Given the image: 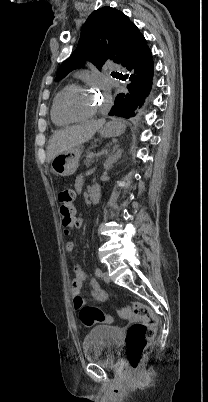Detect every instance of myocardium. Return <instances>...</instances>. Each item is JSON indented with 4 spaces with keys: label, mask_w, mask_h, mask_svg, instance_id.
<instances>
[{
    "label": "myocardium",
    "mask_w": 208,
    "mask_h": 402,
    "mask_svg": "<svg viewBox=\"0 0 208 402\" xmlns=\"http://www.w3.org/2000/svg\"><path fill=\"white\" fill-rule=\"evenodd\" d=\"M79 90H85V86H83V85H71L70 87H68L64 91L62 96H61L60 107H61V110H62L63 114L66 115L67 117H69L71 119H75V120H86V119L91 118L92 116H94L98 112L102 102H104L105 100L104 99L100 100L98 105L95 106L89 112H86V113L75 112V111L70 109V107L68 105V98L72 93H74L76 91H79Z\"/></svg>",
    "instance_id": "f54148a6"
}]
</instances>
